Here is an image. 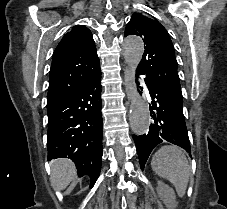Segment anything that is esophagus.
Returning a JSON list of instances; mask_svg holds the SVG:
<instances>
[{"label":"esophagus","mask_w":227,"mask_h":209,"mask_svg":"<svg viewBox=\"0 0 227 209\" xmlns=\"http://www.w3.org/2000/svg\"><path fill=\"white\" fill-rule=\"evenodd\" d=\"M124 81H125V88H126V94H127L128 100L131 101L134 97V83H133L132 73L129 70V68L125 69ZM131 106L135 107L136 103L132 102Z\"/></svg>","instance_id":"34e87169"}]
</instances>
